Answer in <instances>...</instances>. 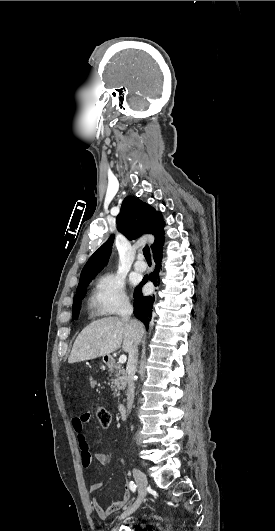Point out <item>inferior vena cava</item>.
<instances>
[{
    "mask_svg": "<svg viewBox=\"0 0 275 531\" xmlns=\"http://www.w3.org/2000/svg\"><path fill=\"white\" fill-rule=\"evenodd\" d=\"M133 313V307L130 305L129 301H126L125 305L121 307V317L124 321H130V317ZM128 363H127V373H128V389H127V413H130L134 401V377L136 373L137 361H138V347L137 343H134L133 347L128 351Z\"/></svg>",
    "mask_w": 275,
    "mask_h": 531,
    "instance_id": "inferior-vena-cava-1",
    "label": "inferior vena cava"
}]
</instances>
